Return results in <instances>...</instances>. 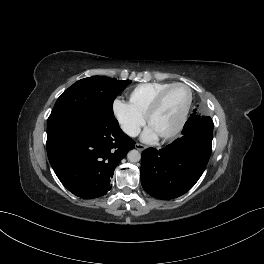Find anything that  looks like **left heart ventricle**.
<instances>
[{
	"instance_id": "obj_1",
	"label": "left heart ventricle",
	"mask_w": 264,
	"mask_h": 264,
	"mask_svg": "<svg viewBox=\"0 0 264 264\" xmlns=\"http://www.w3.org/2000/svg\"><path fill=\"white\" fill-rule=\"evenodd\" d=\"M188 99L183 87L171 89L164 97L159 109L152 116L149 127L159 136L171 130L179 120Z\"/></svg>"
}]
</instances>
